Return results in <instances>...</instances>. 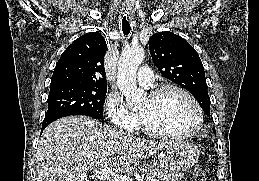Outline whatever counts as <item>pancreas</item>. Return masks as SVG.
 I'll return each mask as SVG.
<instances>
[{
  "label": "pancreas",
  "instance_id": "obj_1",
  "mask_svg": "<svg viewBox=\"0 0 259 181\" xmlns=\"http://www.w3.org/2000/svg\"><path fill=\"white\" fill-rule=\"evenodd\" d=\"M144 172L147 176L157 178V181H181L184 179L183 173L151 166H146Z\"/></svg>",
  "mask_w": 259,
  "mask_h": 181
}]
</instances>
